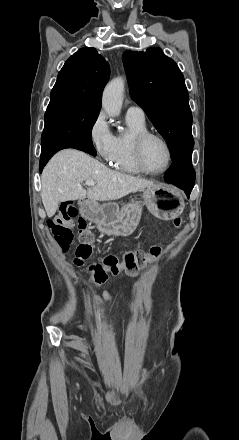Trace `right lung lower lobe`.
<instances>
[{"mask_svg":"<svg viewBox=\"0 0 239 440\" xmlns=\"http://www.w3.org/2000/svg\"><path fill=\"white\" fill-rule=\"evenodd\" d=\"M64 148H75L82 150L86 153H89L93 156H96V150L93 146V144H90L86 140L82 139H70L67 141H64L60 144H57L53 146L52 148L41 152V160H40V172H42L43 167L46 165L48 160L59 150Z\"/></svg>","mask_w":239,"mask_h":440,"instance_id":"98d812e1","label":"right lung lower lobe"}]
</instances>
